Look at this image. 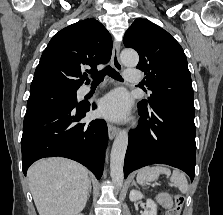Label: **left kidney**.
Returning a JSON list of instances; mask_svg holds the SVG:
<instances>
[{"label":"left kidney","mask_w":223,"mask_h":215,"mask_svg":"<svg viewBox=\"0 0 223 215\" xmlns=\"http://www.w3.org/2000/svg\"><path fill=\"white\" fill-rule=\"evenodd\" d=\"M129 197L131 201H138V199H142L144 195L141 191H138V189H131ZM143 215H157V205L153 199H147L146 209Z\"/></svg>","instance_id":"5707ae66"}]
</instances>
